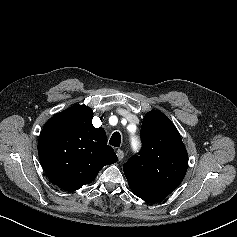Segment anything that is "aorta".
I'll list each match as a JSON object with an SVG mask.
<instances>
[{
  "label": "aorta",
  "mask_w": 237,
  "mask_h": 237,
  "mask_svg": "<svg viewBox=\"0 0 237 237\" xmlns=\"http://www.w3.org/2000/svg\"><path fill=\"white\" fill-rule=\"evenodd\" d=\"M133 147L134 148L136 147V141H133Z\"/></svg>",
  "instance_id": "1"
}]
</instances>
